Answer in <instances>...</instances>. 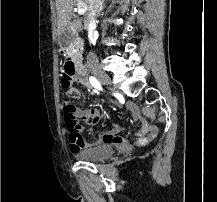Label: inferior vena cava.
<instances>
[{
  "label": "inferior vena cava",
  "instance_id": "inferior-vena-cava-1",
  "mask_svg": "<svg viewBox=\"0 0 217 202\" xmlns=\"http://www.w3.org/2000/svg\"><path fill=\"white\" fill-rule=\"evenodd\" d=\"M87 22H92L95 18V14L99 8L100 0H87ZM90 56H93V54H90Z\"/></svg>",
  "mask_w": 217,
  "mask_h": 202
}]
</instances>
